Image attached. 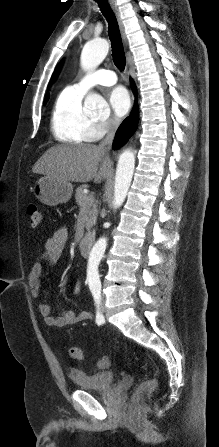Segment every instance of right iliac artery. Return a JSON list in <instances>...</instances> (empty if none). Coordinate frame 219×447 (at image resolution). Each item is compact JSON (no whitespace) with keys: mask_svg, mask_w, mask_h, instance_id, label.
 <instances>
[{"mask_svg":"<svg viewBox=\"0 0 219 447\" xmlns=\"http://www.w3.org/2000/svg\"><path fill=\"white\" fill-rule=\"evenodd\" d=\"M93 297H94V301H95V304H96V307H97V312H96V323L98 324V325H101L103 322H104V316H103V314L100 312V308H99V306H100V303H101V295H100V293H96V292H94L93 293Z\"/></svg>","mask_w":219,"mask_h":447,"instance_id":"obj_1","label":"right iliac artery"}]
</instances>
